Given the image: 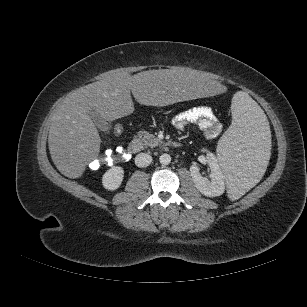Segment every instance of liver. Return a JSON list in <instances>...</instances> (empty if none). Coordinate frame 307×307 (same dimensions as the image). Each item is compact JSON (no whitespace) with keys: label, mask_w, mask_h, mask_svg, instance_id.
Listing matches in <instances>:
<instances>
[{"label":"liver","mask_w":307,"mask_h":307,"mask_svg":"<svg viewBox=\"0 0 307 307\" xmlns=\"http://www.w3.org/2000/svg\"><path fill=\"white\" fill-rule=\"evenodd\" d=\"M223 91L205 72L184 67L108 75L69 93L54 113L48 135L52 161L66 177H80L100 152L101 139L89 112L94 109L106 121L127 116L134 111L131 92L142 105L163 107Z\"/></svg>","instance_id":"liver-1"}]
</instances>
